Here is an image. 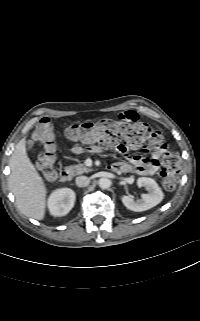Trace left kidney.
<instances>
[{"instance_id": "left-kidney-1", "label": "left kidney", "mask_w": 200, "mask_h": 321, "mask_svg": "<svg viewBox=\"0 0 200 321\" xmlns=\"http://www.w3.org/2000/svg\"><path fill=\"white\" fill-rule=\"evenodd\" d=\"M137 185L145 187L148 190V194H143L142 199L137 201H134L132 196H122V203L129 210L135 212L146 211L163 200L164 194L154 179L140 177L137 179Z\"/></svg>"}]
</instances>
